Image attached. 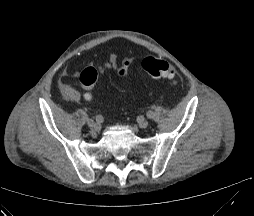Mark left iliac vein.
<instances>
[{
    "mask_svg": "<svg viewBox=\"0 0 254 216\" xmlns=\"http://www.w3.org/2000/svg\"><path fill=\"white\" fill-rule=\"evenodd\" d=\"M149 125V122L145 119L143 120H140L139 123H138V126L141 128V129H145L147 128Z\"/></svg>",
    "mask_w": 254,
    "mask_h": 216,
    "instance_id": "obj_1",
    "label": "left iliac vein"
}]
</instances>
